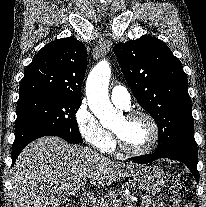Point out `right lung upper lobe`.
Masks as SVG:
<instances>
[{"label": "right lung upper lobe", "mask_w": 206, "mask_h": 207, "mask_svg": "<svg viewBox=\"0 0 206 207\" xmlns=\"http://www.w3.org/2000/svg\"><path fill=\"white\" fill-rule=\"evenodd\" d=\"M86 67L87 51L80 41L68 37L50 42L28 65L19 100L40 95L80 99Z\"/></svg>", "instance_id": "obj_1"}]
</instances>
